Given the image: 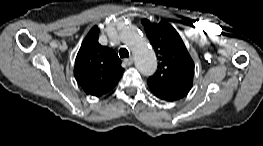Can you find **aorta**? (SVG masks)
<instances>
[{"label": "aorta", "mask_w": 263, "mask_h": 146, "mask_svg": "<svg viewBox=\"0 0 263 146\" xmlns=\"http://www.w3.org/2000/svg\"><path fill=\"white\" fill-rule=\"evenodd\" d=\"M121 38L134 53L137 69L146 76L153 74L157 69L156 56L142 33L136 27L128 26L121 32Z\"/></svg>", "instance_id": "obj_1"}]
</instances>
